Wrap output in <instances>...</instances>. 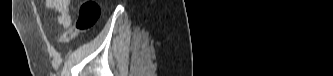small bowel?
Segmentation results:
<instances>
[{
  "label": "small bowel",
  "instance_id": "small-bowel-1",
  "mask_svg": "<svg viewBox=\"0 0 333 76\" xmlns=\"http://www.w3.org/2000/svg\"><path fill=\"white\" fill-rule=\"evenodd\" d=\"M46 8L56 14L55 23L64 29L72 24L70 0H46Z\"/></svg>",
  "mask_w": 333,
  "mask_h": 76
}]
</instances>
